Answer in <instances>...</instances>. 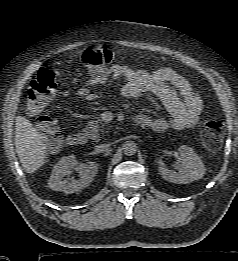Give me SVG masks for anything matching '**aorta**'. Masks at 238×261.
Listing matches in <instances>:
<instances>
[{
    "label": "aorta",
    "instance_id": "1",
    "mask_svg": "<svg viewBox=\"0 0 238 261\" xmlns=\"http://www.w3.org/2000/svg\"><path fill=\"white\" fill-rule=\"evenodd\" d=\"M122 149L126 156H132L137 152V145L134 141H126Z\"/></svg>",
    "mask_w": 238,
    "mask_h": 261
}]
</instances>
